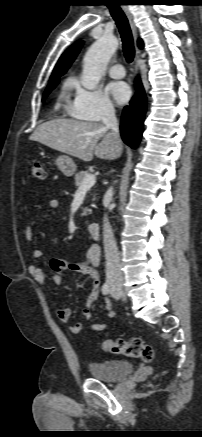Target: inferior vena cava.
Wrapping results in <instances>:
<instances>
[{"label":"inferior vena cava","mask_w":202,"mask_h":437,"mask_svg":"<svg viewBox=\"0 0 202 437\" xmlns=\"http://www.w3.org/2000/svg\"><path fill=\"white\" fill-rule=\"evenodd\" d=\"M104 126L111 130L112 135L121 144L119 126L115 116V110L112 106L105 108L102 116ZM113 196L112 188L108 189L105 194L107 200H111ZM103 224V242L106 257V279L109 283L121 282L122 274L120 267V259L117 249V244L114 238L113 230L108 222L107 217H104Z\"/></svg>","instance_id":"inferior-vena-cava-1"}]
</instances>
